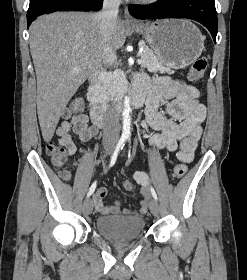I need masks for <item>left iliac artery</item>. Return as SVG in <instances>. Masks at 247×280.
Segmentation results:
<instances>
[{
	"label": "left iliac artery",
	"mask_w": 247,
	"mask_h": 280,
	"mask_svg": "<svg viewBox=\"0 0 247 280\" xmlns=\"http://www.w3.org/2000/svg\"><path fill=\"white\" fill-rule=\"evenodd\" d=\"M151 194H152V196H153V198H154L155 200L158 199V198H157V194H156V192H155V190H154L153 187H151Z\"/></svg>",
	"instance_id": "obj_1"
}]
</instances>
